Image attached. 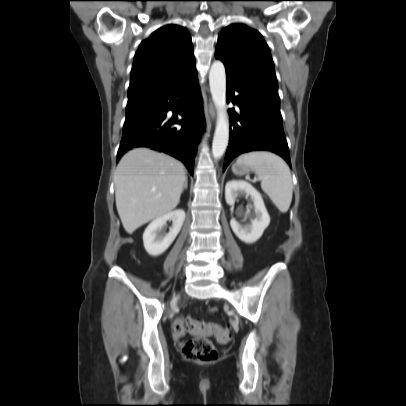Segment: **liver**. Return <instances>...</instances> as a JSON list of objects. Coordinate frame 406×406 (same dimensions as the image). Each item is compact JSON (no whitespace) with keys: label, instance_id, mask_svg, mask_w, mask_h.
Wrapping results in <instances>:
<instances>
[{"label":"liver","instance_id":"liver-1","mask_svg":"<svg viewBox=\"0 0 406 406\" xmlns=\"http://www.w3.org/2000/svg\"><path fill=\"white\" fill-rule=\"evenodd\" d=\"M185 177L184 165L169 155L146 148L126 153L114 175L116 207L126 232L171 212Z\"/></svg>","mask_w":406,"mask_h":406}]
</instances>
